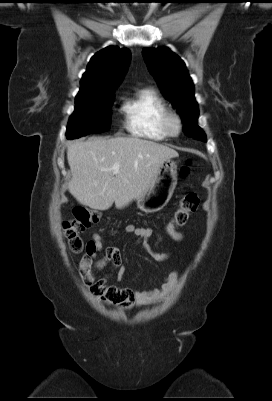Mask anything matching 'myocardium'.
<instances>
[{
	"label": "myocardium",
	"instance_id": "f54148a6",
	"mask_svg": "<svg viewBox=\"0 0 272 401\" xmlns=\"http://www.w3.org/2000/svg\"><path fill=\"white\" fill-rule=\"evenodd\" d=\"M164 127L169 136L176 137L180 135L183 122L181 116L175 111H168L163 119Z\"/></svg>",
	"mask_w": 272,
	"mask_h": 401
}]
</instances>
